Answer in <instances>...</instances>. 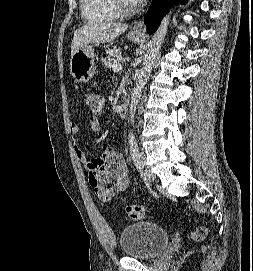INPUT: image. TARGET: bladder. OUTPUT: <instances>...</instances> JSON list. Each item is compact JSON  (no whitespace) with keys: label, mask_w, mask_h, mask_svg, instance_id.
<instances>
[{"label":"bladder","mask_w":253,"mask_h":271,"mask_svg":"<svg viewBox=\"0 0 253 271\" xmlns=\"http://www.w3.org/2000/svg\"><path fill=\"white\" fill-rule=\"evenodd\" d=\"M168 241V231L149 221L127 226L119 234L122 253L133 259L147 260L156 257L164 250Z\"/></svg>","instance_id":"bladder-1"}]
</instances>
